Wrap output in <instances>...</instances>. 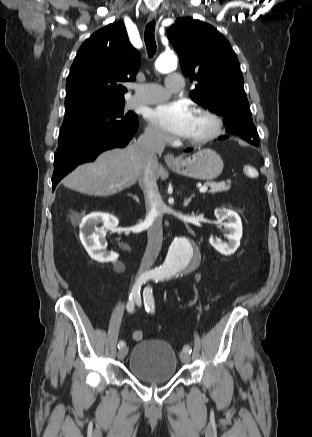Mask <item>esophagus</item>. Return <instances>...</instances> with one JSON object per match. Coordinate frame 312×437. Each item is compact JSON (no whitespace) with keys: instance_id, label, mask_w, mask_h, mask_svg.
Here are the masks:
<instances>
[{"instance_id":"esophagus-1","label":"esophagus","mask_w":312,"mask_h":437,"mask_svg":"<svg viewBox=\"0 0 312 437\" xmlns=\"http://www.w3.org/2000/svg\"><path fill=\"white\" fill-rule=\"evenodd\" d=\"M156 17H157V14L155 12H153L148 16L147 21L151 22V21L155 20ZM164 159H165L166 164H168V165L176 164L178 162L177 158L172 153H167L164 156Z\"/></svg>"}]
</instances>
